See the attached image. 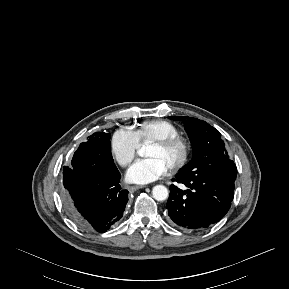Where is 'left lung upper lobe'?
Listing matches in <instances>:
<instances>
[{
	"instance_id": "obj_1",
	"label": "left lung upper lobe",
	"mask_w": 289,
	"mask_h": 289,
	"mask_svg": "<svg viewBox=\"0 0 289 289\" xmlns=\"http://www.w3.org/2000/svg\"><path fill=\"white\" fill-rule=\"evenodd\" d=\"M169 119L184 121L185 130L193 149L192 161L179 172L181 176L213 175L234 184L237 168L225 149L220 132L205 121L188 116H170Z\"/></svg>"
}]
</instances>
